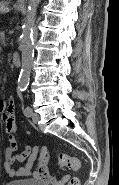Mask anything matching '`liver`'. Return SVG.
<instances>
[{
  "instance_id": "liver-1",
  "label": "liver",
  "mask_w": 119,
  "mask_h": 185,
  "mask_svg": "<svg viewBox=\"0 0 119 185\" xmlns=\"http://www.w3.org/2000/svg\"><path fill=\"white\" fill-rule=\"evenodd\" d=\"M9 12V8L0 3V13Z\"/></svg>"
}]
</instances>
